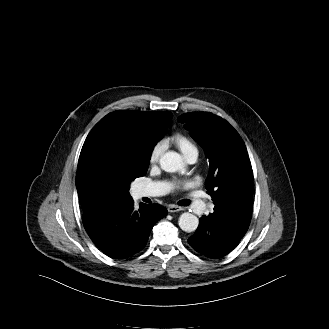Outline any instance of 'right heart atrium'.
Returning a JSON list of instances; mask_svg holds the SVG:
<instances>
[{"label": "right heart atrium", "instance_id": "right-heart-atrium-1", "mask_svg": "<svg viewBox=\"0 0 329 329\" xmlns=\"http://www.w3.org/2000/svg\"><path fill=\"white\" fill-rule=\"evenodd\" d=\"M164 147L165 145L162 141H159L153 145L149 153V162L151 164L156 163L159 160L161 154L164 151Z\"/></svg>", "mask_w": 329, "mask_h": 329}]
</instances>
